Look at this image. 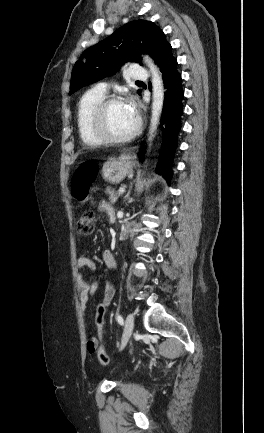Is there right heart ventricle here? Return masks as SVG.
I'll use <instances>...</instances> for the list:
<instances>
[{"label": "right heart ventricle", "instance_id": "obj_1", "mask_svg": "<svg viewBox=\"0 0 264 433\" xmlns=\"http://www.w3.org/2000/svg\"><path fill=\"white\" fill-rule=\"evenodd\" d=\"M104 99L105 94L91 89L85 92L78 102L76 124L79 137L85 145H99L102 143L90 129V117L94 108Z\"/></svg>", "mask_w": 264, "mask_h": 433}]
</instances>
